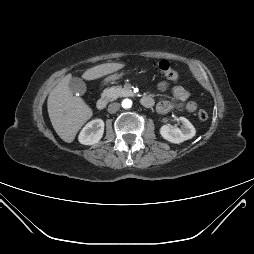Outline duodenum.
I'll list each match as a JSON object with an SVG mask.
<instances>
[{
	"label": "duodenum",
	"mask_w": 254,
	"mask_h": 254,
	"mask_svg": "<svg viewBox=\"0 0 254 254\" xmlns=\"http://www.w3.org/2000/svg\"><path fill=\"white\" fill-rule=\"evenodd\" d=\"M141 104H142L144 107L149 108V107H152V106H153L154 101H153V99H152L151 97H149V96H144V97L141 98ZM106 106H107V100H106V98L101 97V98H99V99L97 100V102H96V107H97V109L103 110V109H105Z\"/></svg>",
	"instance_id": "obj_1"
}]
</instances>
